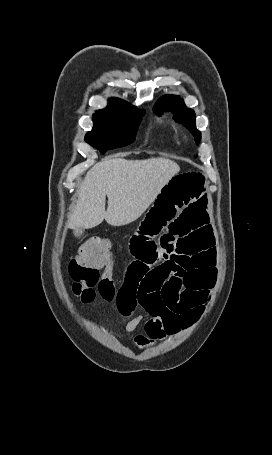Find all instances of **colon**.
<instances>
[{
	"label": "colon",
	"instance_id": "1",
	"mask_svg": "<svg viewBox=\"0 0 272 455\" xmlns=\"http://www.w3.org/2000/svg\"><path fill=\"white\" fill-rule=\"evenodd\" d=\"M113 266L111 242L101 237L89 238L69 263L74 295L84 304L92 302L97 294L107 301L114 300L117 288L112 278Z\"/></svg>",
	"mask_w": 272,
	"mask_h": 455
}]
</instances>
